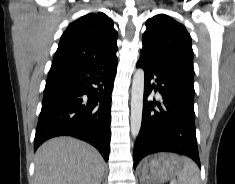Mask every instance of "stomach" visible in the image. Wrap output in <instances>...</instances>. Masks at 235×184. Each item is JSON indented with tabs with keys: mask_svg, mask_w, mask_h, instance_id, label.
Segmentation results:
<instances>
[{
	"mask_svg": "<svg viewBox=\"0 0 235 184\" xmlns=\"http://www.w3.org/2000/svg\"><path fill=\"white\" fill-rule=\"evenodd\" d=\"M182 168V156H178V154H158V156H154L151 160L141 164L139 176L141 182H146V184H163L168 180H174Z\"/></svg>",
	"mask_w": 235,
	"mask_h": 184,
	"instance_id": "obj_1",
	"label": "stomach"
}]
</instances>
